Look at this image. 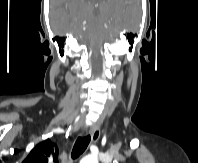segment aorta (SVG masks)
<instances>
[{
    "instance_id": "762f6f07",
    "label": "aorta",
    "mask_w": 198,
    "mask_h": 163,
    "mask_svg": "<svg viewBox=\"0 0 198 163\" xmlns=\"http://www.w3.org/2000/svg\"><path fill=\"white\" fill-rule=\"evenodd\" d=\"M80 163H98V158L94 155H87L81 159Z\"/></svg>"
}]
</instances>
